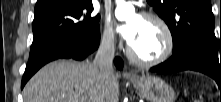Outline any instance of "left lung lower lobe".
<instances>
[{
  "instance_id": "obj_1",
  "label": "left lung lower lobe",
  "mask_w": 221,
  "mask_h": 102,
  "mask_svg": "<svg viewBox=\"0 0 221 102\" xmlns=\"http://www.w3.org/2000/svg\"><path fill=\"white\" fill-rule=\"evenodd\" d=\"M182 70H194L209 75L221 88V59L210 50L189 44L173 52L166 62L151 68L157 73H171Z\"/></svg>"
}]
</instances>
